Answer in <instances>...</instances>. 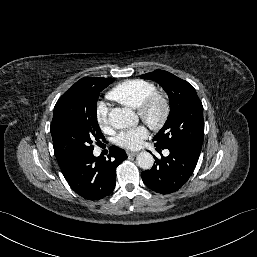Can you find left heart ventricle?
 Masks as SVG:
<instances>
[{"mask_svg":"<svg viewBox=\"0 0 257 257\" xmlns=\"http://www.w3.org/2000/svg\"><path fill=\"white\" fill-rule=\"evenodd\" d=\"M159 115H160V110H159V109H155V110L153 111V113H152V116H153L154 118H158Z\"/></svg>","mask_w":257,"mask_h":257,"instance_id":"left-heart-ventricle-1","label":"left heart ventricle"}]
</instances>
